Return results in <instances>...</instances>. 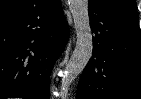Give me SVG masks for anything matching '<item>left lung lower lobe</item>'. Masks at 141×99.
<instances>
[{
    "instance_id": "0a47b994",
    "label": "left lung lower lobe",
    "mask_w": 141,
    "mask_h": 99,
    "mask_svg": "<svg viewBox=\"0 0 141 99\" xmlns=\"http://www.w3.org/2000/svg\"><path fill=\"white\" fill-rule=\"evenodd\" d=\"M93 54L76 99H141V34L137 12L88 2Z\"/></svg>"
}]
</instances>
